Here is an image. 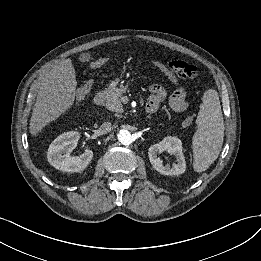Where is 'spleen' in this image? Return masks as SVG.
Listing matches in <instances>:
<instances>
[{
  "instance_id": "3e777b00",
  "label": "spleen",
  "mask_w": 261,
  "mask_h": 261,
  "mask_svg": "<svg viewBox=\"0 0 261 261\" xmlns=\"http://www.w3.org/2000/svg\"><path fill=\"white\" fill-rule=\"evenodd\" d=\"M196 124L198 129L192 142L193 168L200 173L217 159L223 144L224 121L216 90L205 91Z\"/></svg>"
}]
</instances>
